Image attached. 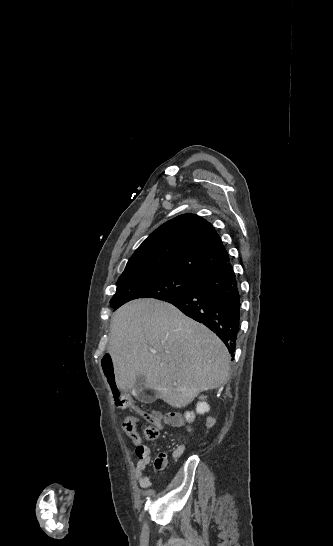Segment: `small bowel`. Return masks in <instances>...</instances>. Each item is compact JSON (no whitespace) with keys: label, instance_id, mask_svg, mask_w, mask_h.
I'll return each instance as SVG.
<instances>
[{"label":"small bowel","instance_id":"1","mask_svg":"<svg viewBox=\"0 0 333 546\" xmlns=\"http://www.w3.org/2000/svg\"><path fill=\"white\" fill-rule=\"evenodd\" d=\"M147 419H149L152 423H154L157 427L163 428V423L161 419V415L159 413L157 414H149L146 415ZM166 421L170 424H177V419L173 415H169L166 418ZM135 446V453L138 458V461L135 465V473L138 479V483L142 488H149L151 485V475L147 473V468L152 464V458H151V450L148 445H146L143 440L138 435L137 431L135 432V435L129 436ZM185 452V446L180 445L178 446L174 452L173 457L175 459L180 458L183 453ZM168 462V457L166 452H161L153 461V467L156 470L163 469Z\"/></svg>","mask_w":333,"mask_h":546}]
</instances>
